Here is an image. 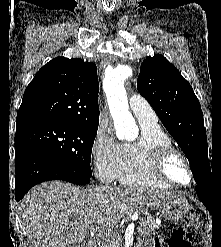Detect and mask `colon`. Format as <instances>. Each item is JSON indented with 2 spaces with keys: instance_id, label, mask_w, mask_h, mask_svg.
<instances>
[{
  "instance_id": "obj_1",
  "label": "colon",
  "mask_w": 221,
  "mask_h": 247,
  "mask_svg": "<svg viewBox=\"0 0 221 247\" xmlns=\"http://www.w3.org/2000/svg\"><path fill=\"white\" fill-rule=\"evenodd\" d=\"M198 226V216L190 214L185 217L183 226L175 228L168 240V247H191V234L188 229ZM161 247L160 244L156 243Z\"/></svg>"
}]
</instances>
